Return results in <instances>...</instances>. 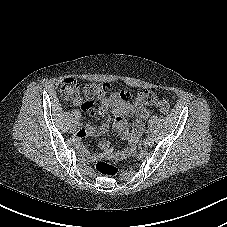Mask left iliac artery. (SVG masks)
<instances>
[{
    "instance_id": "44dca946",
    "label": "left iliac artery",
    "mask_w": 227,
    "mask_h": 227,
    "mask_svg": "<svg viewBox=\"0 0 227 227\" xmlns=\"http://www.w3.org/2000/svg\"><path fill=\"white\" fill-rule=\"evenodd\" d=\"M146 133L149 135L150 134L149 130Z\"/></svg>"
}]
</instances>
